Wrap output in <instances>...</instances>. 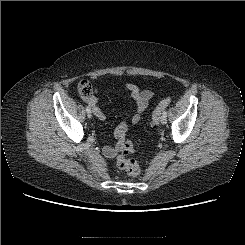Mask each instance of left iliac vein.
Masks as SVG:
<instances>
[{"label": "left iliac vein", "instance_id": "left-iliac-vein-1", "mask_svg": "<svg viewBox=\"0 0 245 245\" xmlns=\"http://www.w3.org/2000/svg\"><path fill=\"white\" fill-rule=\"evenodd\" d=\"M160 122H161V124H166V122H167V118L165 117V116H162L161 117V119H160Z\"/></svg>", "mask_w": 245, "mask_h": 245}]
</instances>
